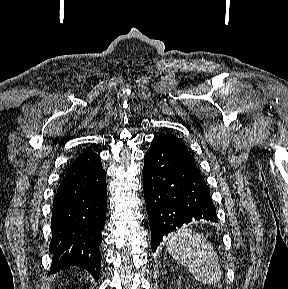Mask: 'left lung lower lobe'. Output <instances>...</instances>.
<instances>
[{"instance_id": "obj_1", "label": "left lung lower lobe", "mask_w": 288, "mask_h": 289, "mask_svg": "<svg viewBox=\"0 0 288 289\" xmlns=\"http://www.w3.org/2000/svg\"><path fill=\"white\" fill-rule=\"evenodd\" d=\"M143 189L152 251L164 236L192 219L218 222L210 190L196 165L153 139L145 154Z\"/></svg>"}]
</instances>
